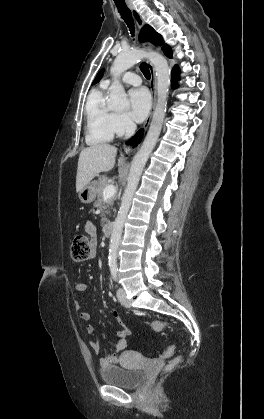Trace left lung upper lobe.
<instances>
[{
  "label": "left lung upper lobe",
  "instance_id": "1",
  "mask_svg": "<svg viewBox=\"0 0 264 419\" xmlns=\"http://www.w3.org/2000/svg\"><path fill=\"white\" fill-rule=\"evenodd\" d=\"M139 40L140 41L148 40L154 43L155 45H161L163 43V39L161 35L155 32V30L151 28L149 25H145L141 29ZM162 49L165 53L171 52L170 48L167 45H164Z\"/></svg>",
  "mask_w": 264,
  "mask_h": 419
}]
</instances>
